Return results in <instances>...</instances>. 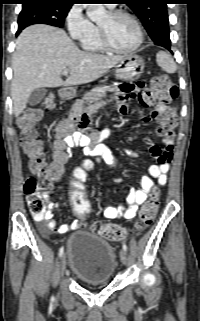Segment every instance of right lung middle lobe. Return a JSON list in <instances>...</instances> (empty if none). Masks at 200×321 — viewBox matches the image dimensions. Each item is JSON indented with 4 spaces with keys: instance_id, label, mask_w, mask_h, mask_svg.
Instances as JSON below:
<instances>
[{
    "instance_id": "right-lung-middle-lobe-1",
    "label": "right lung middle lobe",
    "mask_w": 200,
    "mask_h": 321,
    "mask_svg": "<svg viewBox=\"0 0 200 321\" xmlns=\"http://www.w3.org/2000/svg\"><path fill=\"white\" fill-rule=\"evenodd\" d=\"M71 6L56 1L23 2L18 18V32L32 24H47L62 28Z\"/></svg>"
}]
</instances>
